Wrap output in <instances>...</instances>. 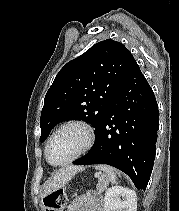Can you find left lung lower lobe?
<instances>
[{
  "label": "left lung lower lobe",
  "instance_id": "left-lung-lower-lobe-1",
  "mask_svg": "<svg viewBox=\"0 0 179 211\" xmlns=\"http://www.w3.org/2000/svg\"><path fill=\"white\" fill-rule=\"evenodd\" d=\"M159 128L154 93L133 59L114 94L91 150L73 164H107L146 189L153 169Z\"/></svg>",
  "mask_w": 179,
  "mask_h": 211
}]
</instances>
